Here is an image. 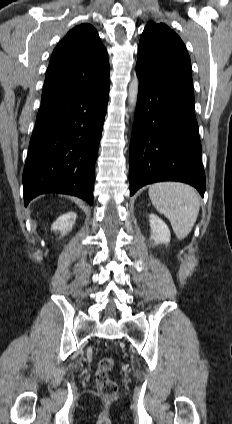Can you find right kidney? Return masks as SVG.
<instances>
[{"mask_svg":"<svg viewBox=\"0 0 232 424\" xmlns=\"http://www.w3.org/2000/svg\"><path fill=\"white\" fill-rule=\"evenodd\" d=\"M76 218L77 215L74 212L63 214L54 222L51 230L60 231L62 235H65L74 226Z\"/></svg>","mask_w":232,"mask_h":424,"instance_id":"right-kidney-1","label":"right kidney"}]
</instances>
